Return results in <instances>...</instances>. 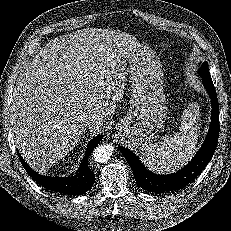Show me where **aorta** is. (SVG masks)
Returning <instances> with one entry per match:
<instances>
[{"instance_id":"obj_1","label":"aorta","mask_w":231,"mask_h":231,"mask_svg":"<svg viewBox=\"0 0 231 231\" xmlns=\"http://www.w3.org/2000/svg\"><path fill=\"white\" fill-rule=\"evenodd\" d=\"M113 155V147L109 144H101L93 151L94 161L98 163H106Z\"/></svg>"}]
</instances>
